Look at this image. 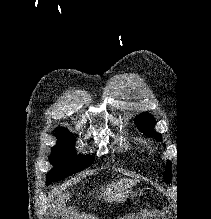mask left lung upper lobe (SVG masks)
<instances>
[{"label": "left lung upper lobe", "mask_w": 211, "mask_h": 219, "mask_svg": "<svg viewBox=\"0 0 211 219\" xmlns=\"http://www.w3.org/2000/svg\"><path fill=\"white\" fill-rule=\"evenodd\" d=\"M135 124L144 134L155 137L156 140L161 141V134L156 133L153 128L155 126V119L148 113H142L135 118ZM171 179V163L168 162L167 168L164 173V180L168 183Z\"/></svg>", "instance_id": "obj_1"}]
</instances>
